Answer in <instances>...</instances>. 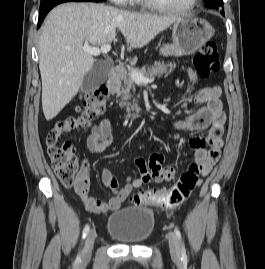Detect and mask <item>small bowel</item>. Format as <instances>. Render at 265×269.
<instances>
[{
    "instance_id": "small-bowel-1",
    "label": "small bowel",
    "mask_w": 265,
    "mask_h": 269,
    "mask_svg": "<svg viewBox=\"0 0 265 269\" xmlns=\"http://www.w3.org/2000/svg\"><path fill=\"white\" fill-rule=\"evenodd\" d=\"M184 71L190 80L196 81L197 75L194 70L184 68ZM220 96L221 89L218 86L201 89L195 95L194 102L196 104H205L206 106L194 111L188 118L176 124L178 129L185 131L211 129V144L209 148H207L208 139L205 137L192 136L189 139V145L194 151L195 159L203 166L204 176L210 172L218 161L220 150L223 146L221 132L218 136H213V130L216 127L222 130V124L225 120ZM112 126V120L105 118L92 127L86 141L87 148L90 152L101 153L108 149L112 141ZM134 163L139 174L135 178L128 177L123 187H119V182L112 170L108 168L101 170V180L104 186L113 192V196L108 202H101L89 195V168L87 164H84L78 173L74 188L86 209L94 213L117 211L135 189L150 182H170L175 177V169L165 164V156L162 153H153L147 160L136 158Z\"/></svg>"
}]
</instances>
